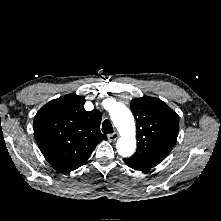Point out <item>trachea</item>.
Returning a JSON list of instances; mask_svg holds the SVG:
<instances>
[{"label": "trachea", "instance_id": "obj_1", "mask_svg": "<svg viewBox=\"0 0 221 221\" xmlns=\"http://www.w3.org/2000/svg\"><path fill=\"white\" fill-rule=\"evenodd\" d=\"M103 133H113V127L109 120H105L102 124Z\"/></svg>", "mask_w": 221, "mask_h": 221}]
</instances>
